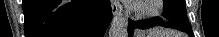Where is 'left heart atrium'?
Instances as JSON below:
<instances>
[{"label":"left heart atrium","instance_id":"39dd6f15","mask_svg":"<svg viewBox=\"0 0 219 37\" xmlns=\"http://www.w3.org/2000/svg\"><path fill=\"white\" fill-rule=\"evenodd\" d=\"M138 0H131V1H127L128 4L134 5L136 3H138Z\"/></svg>","mask_w":219,"mask_h":37}]
</instances>
